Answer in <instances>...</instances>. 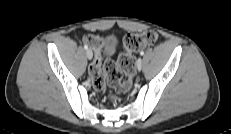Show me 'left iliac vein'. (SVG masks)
<instances>
[{"label": "left iliac vein", "mask_w": 231, "mask_h": 134, "mask_svg": "<svg viewBox=\"0 0 231 134\" xmlns=\"http://www.w3.org/2000/svg\"><path fill=\"white\" fill-rule=\"evenodd\" d=\"M137 69H138L139 71L142 69V59H141V58H139V59L137 60Z\"/></svg>", "instance_id": "4c4485c4"}]
</instances>
